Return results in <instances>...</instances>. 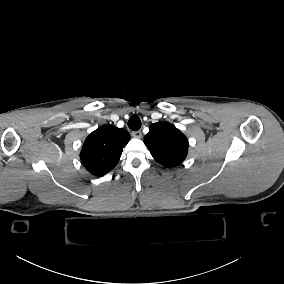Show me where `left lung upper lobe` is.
Masks as SVG:
<instances>
[{
	"instance_id": "1",
	"label": "left lung upper lobe",
	"mask_w": 284,
	"mask_h": 284,
	"mask_svg": "<svg viewBox=\"0 0 284 284\" xmlns=\"http://www.w3.org/2000/svg\"><path fill=\"white\" fill-rule=\"evenodd\" d=\"M153 158L165 167L179 165L187 156L188 140L174 125L158 122L150 126L144 139Z\"/></svg>"
}]
</instances>
